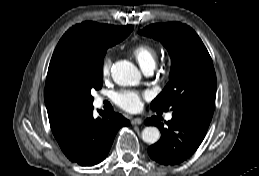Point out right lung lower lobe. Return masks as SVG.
I'll return each mask as SVG.
<instances>
[{
  "instance_id": "98d812e1",
  "label": "right lung lower lobe",
  "mask_w": 259,
  "mask_h": 176,
  "mask_svg": "<svg viewBox=\"0 0 259 176\" xmlns=\"http://www.w3.org/2000/svg\"><path fill=\"white\" fill-rule=\"evenodd\" d=\"M100 114L101 117L94 118L91 106L51 127L63 153L72 162L81 166L100 163L107 156L117 131L130 124L113 111Z\"/></svg>"
}]
</instances>
